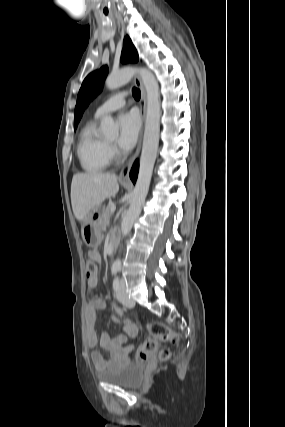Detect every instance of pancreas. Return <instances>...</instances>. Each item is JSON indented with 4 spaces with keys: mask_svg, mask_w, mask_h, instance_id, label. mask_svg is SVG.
Instances as JSON below:
<instances>
[{
    "mask_svg": "<svg viewBox=\"0 0 285 427\" xmlns=\"http://www.w3.org/2000/svg\"><path fill=\"white\" fill-rule=\"evenodd\" d=\"M112 205H108L105 210L102 213L101 221H100V228L102 230H105L107 225L109 224L112 212H111Z\"/></svg>",
    "mask_w": 285,
    "mask_h": 427,
    "instance_id": "1",
    "label": "pancreas"
}]
</instances>
